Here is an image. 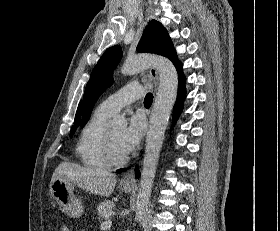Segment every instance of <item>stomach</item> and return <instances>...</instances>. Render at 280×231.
<instances>
[{
	"label": "stomach",
	"mask_w": 280,
	"mask_h": 231,
	"mask_svg": "<svg viewBox=\"0 0 280 231\" xmlns=\"http://www.w3.org/2000/svg\"><path fill=\"white\" fill-rule=\"evenodd\" d=\"M75 185L67 179H53L50 183V195L59 203L60 209L70 217H80L84 211L81 199L74 195ZM123 191L129 193L132 185H122Z\"/></svg>",
	"instance_id": "obj_1"
}]
</instances>
